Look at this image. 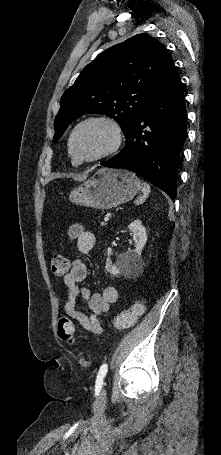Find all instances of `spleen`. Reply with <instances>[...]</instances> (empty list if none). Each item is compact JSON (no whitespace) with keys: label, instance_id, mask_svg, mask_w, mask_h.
I'll list each match as a JSON object with an SVG mask.
<instances>
[{"label":"spleen","instance_id":"3e777b00","mask_svg":"<svg viewBox=\"0 0 221 455\" xmlns=\"http://www.w3.org/2000/svg\"><path fill=\"white\" fill-rule=\"evenodd\" d=\"M142 195L139 196L135 201L134 203L136 205H139V204H142L149 196L150 192H151V188H150V185L146 182H142Z\"/></svg>","mask_w":221,"mask_h":455}]
</instances>
